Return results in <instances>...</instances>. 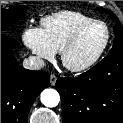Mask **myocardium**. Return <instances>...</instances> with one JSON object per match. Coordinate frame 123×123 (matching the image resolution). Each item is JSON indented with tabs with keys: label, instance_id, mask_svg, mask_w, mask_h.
Wrapping results in <instances>:
<instances>
[{
	"label": "myocardium",
	"instance_id": "obj_1",
	"mask_svg": "<svg viewBox=\"0 0 123 123\" xmlns=\"http://www.w3.org/2000/svg\"><path fill=\"white\" fill-rule=\"evenodd\" d=\"M94 25H101L105 28L106 31V39L102 45V47L99 49V51L95 54V56L93 58H91L88 62L82 64V65H70L67 61V57L69 52L73 49V47L77 44L78 40L80 39V37L83 35V33L85 31H87L89 28H91ZM110 39H111V32L109 27L107 26V24L103 21L100 20H94L92 22H89L85 25H83L82 27H80L73 35L72 37L67 41V43L63 46L62 50L60 51V55H61V61L63 66L71 71V72H83L86 71L88 69H90L91 67H93L98 61L99 59L102 57V55L104 54V52L106 51L109 43H110Z\"/></svg>",
	"mask_w": 123,
	"mask_h": 123
}]
</instances>
